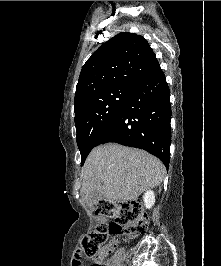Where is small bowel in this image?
Returning <instances> with one entry per match:
<instances>
[{"mask_svg": "<svg viewBox=\"0 0 221 266\" xmlns=\"http://www.w3.org/2000/svg\"><path fill=\"white\" fill-rule=\"evenodd\" d=\"M100 220H104V218H101ZM79 251H84V246H77V252L72 253V256L74 257L72 260V266H82L83 257L85 256V253ZM105 254L106 252L104 253V255Z\"/></svg>", "mask_w": 221, "mask_h": 266, "instance_id": "c3829d8e", "label": "small bowel"}]
</instances>
